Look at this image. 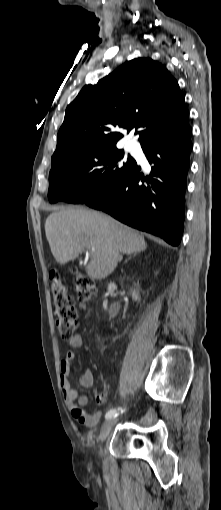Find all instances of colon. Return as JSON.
<instances>
[{
    "mask_svg": "<svg viewBox=\"0 0 221 510\" xmlns=\"http://www.w3.org/2000/svg\"><path fill=\"white\" fill-rule=\"evenodd\" d=\"M49 277L56 325L60 336L64 339H69L74 335L78 327V311L60 272L57 269H51ZM74 291L79 304L85 306L96 293V284L92 278L79 271H75ZM96 401L100 404L104 403V396L102 394L97 395Z\"/></svg>",
    "mask_w": 221,
    "mask_h": 510,
    "instance_id": "1",
    "label": "colon"
}]
</instances>
